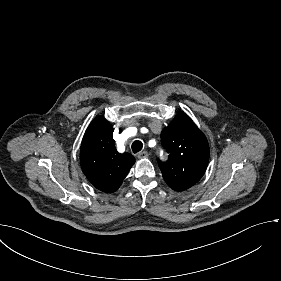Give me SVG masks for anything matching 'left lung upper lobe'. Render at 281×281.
<instances>
[{"mask_svg": "<svg viewBox=\"0 0 281 281\" xmlns=\"http://www.w3.org/2000/svg\"><path fill=\"white\" fill-rule=\"evenodd\" d=\"M161 140L169 159L165 163L158 160V164L168 186L183 191L195 185L209 161V145L204 134L185 113L180 112L163 129Z\"/></svg>", "mask_w": 281, "mask_h": 281, "instance_id": "obj_1", "label": "left lung upper lobe"}]
</instances>
